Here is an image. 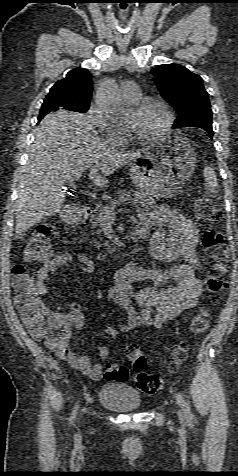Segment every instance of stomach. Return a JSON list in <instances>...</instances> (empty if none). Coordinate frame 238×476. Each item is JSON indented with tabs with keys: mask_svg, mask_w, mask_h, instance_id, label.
<instances>
[{
	"mask_svg": "<svg viewBox=\"0 0 238 476\" xmlns=\"http://www.w3.org/2000/svg\"><path fill=\"white\" fill-rule=\"evenodd\" d=\"M130 166L133 183L148 197L177 195L192 175L196 156L189 142L179 133L156 140Z\"/></svg>",
	"mask_w": 238,
	"mask_h": 476,
	"instance_id": "obj_1",
	"label": "stomach"
}]
</instances>
